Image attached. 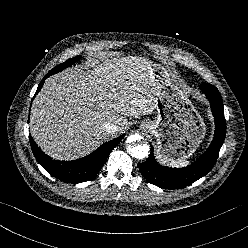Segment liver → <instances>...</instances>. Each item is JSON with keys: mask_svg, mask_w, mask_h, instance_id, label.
Wrapping results in <instances>:
<instances>
[{"mask_svg": "<svg viewBox=\"0 0 248 248\" xmlns=\"http://www.w3.org/2000/svg\"><path fill=\"white\" fill-rule=\"evenodd\" d=\"M87 71L70 68L49 77L31 109L30 131L49 156L74 160L106 141V123L127 129V117L151 114L158 90L140 57L105 59Z\"/></svg>", "mask_w": 248, "mask_h": 248, "instance_id": "obj_1", "label": "liver"}]
</instances>
